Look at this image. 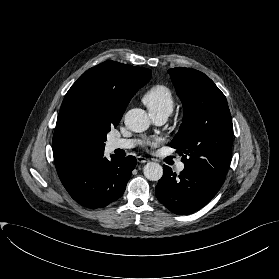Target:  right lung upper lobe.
Returning <instances> with one entry per match:
<instances>
[{
  "label": "right lung upper lobe",
  "instance_id": "1",
  "mask_svg": "<svg viewBox=\"0 0 279 279\" xmlns=\"http://www.w3.org/2000/svg\"><path fill=\"white\" fill-rule=\"evenodd\" d=\"M151 78V70L115 61H106L87 70L67 92L53 135V156L56 170L89 155H77L63 142L62 123L72 98L79 97L95 116L119 123L130 99Z\"/></svg>",
  "mask_w": 279,
  "mask_h": 279
}]
</instances>
